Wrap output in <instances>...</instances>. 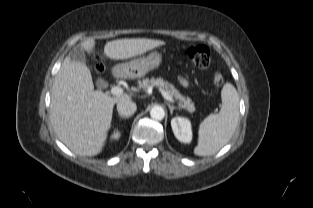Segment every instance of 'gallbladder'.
Returning a JSON list of instances; mask_svg holds the SVG:
<instances>
[{"label":"gallbladder","instance_id":"1","mask_svg":"<svg viewBox=\"0 0 313 208\" xmlns=\"http://www.w3.org/2000/svg\"><path fill=\"white\" fill-rule=\"evenodd\" d=\"M69 56L72 59V61L85 65V62H86L85 53L81 45L74 46L70 50ZM96 85L98 88L102 89L106 86V82L103 79H97Z\"/></svg>","mask_w":313,"mask_h":208}]
</instances>
